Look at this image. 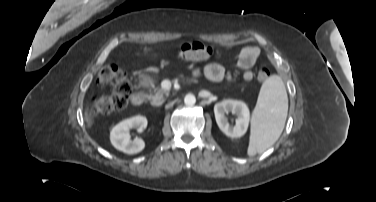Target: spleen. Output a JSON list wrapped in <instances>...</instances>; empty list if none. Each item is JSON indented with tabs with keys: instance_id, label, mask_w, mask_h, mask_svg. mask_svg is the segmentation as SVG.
<instances>
[{
	"instance_id": "obj_1",
	"label": "spleen",
	"mask_w": 376,
	"mask_h": 202,
	"mask_svg": "<svg viewBox=\"0 0 376 202\" xmlns=\"http://www.w3.org/2000/svg\"><path fill=\"white\" fill-rule=\"evenodd\" d=\"M288 113L285 85L278 75L267 78L260 89L252 114V131L248 155L255 156L273 145L280 137Z\"/></svg>"
}]
</instances>
